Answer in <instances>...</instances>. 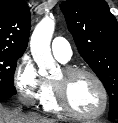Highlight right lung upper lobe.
I'll return each instance as SVG.
<instances>
[{
	"label": "right lung upper lobe",
	"mask_w": 118,
	"mask_h": 123,
	"mask_svg": "<svg viewBox=\"0 0 118 123\" xmlns=\"http://www.w3.org/2000/svg\"><path fill=\"white\" fill-rule=\"evenodd\" d=\"M30 28V10L24 0H0V50L23 54Z\"/></svg>",
	"instance_id": "obj_1"
}]
</instances>
